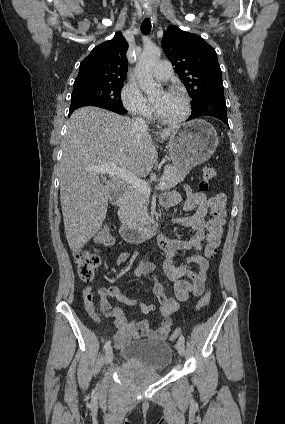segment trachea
Here are the masks:
<instances>
[{"mask_svg": "<svg viewBox=\"0 0 285 424\" xmlns=\"http://www.w3.org/2000/svg\"><path fill=\"white\" fill-rule=\"evenodd\" d=\"M141 32L144 35H147L150 33L151 31V21L149 18H146L143 20L142 24H141Z\"/></svg>", "mask_w": 285, "mask_h": 424, "instance_id": "trachea-1", "label": "trachea"}]
</instances>
